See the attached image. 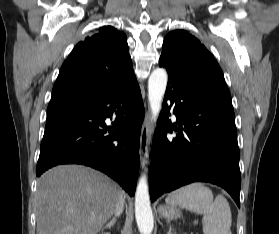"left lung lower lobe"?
Listing matches in <instances>:
<instances>
[{"label": "left lung lower lobe", "mask_w": 279, "mask_h": 234, "mask_svg": "<svg viewBox=\"0 0 279 234\" xmlns=\"http://www.w3.org/2000/svg\"><path fill=\"white\" fill-rule=\"evenodd\" d=\"M159 65L168 72V85L152 144L151 200L204 181L223 187L240 207V152L227 86L189 75L162 58ZM172 129L179 134L168 138Z\"/></svg>", "instance_id": "0a47b994"}]
</instances>
